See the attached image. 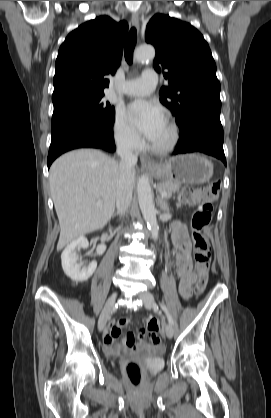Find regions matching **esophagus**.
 I'll use <instances>...</instances> for the list:
<instances>
[{"instance_id":"esophagus-1","label":"esophagus","mask_w":271,"mask_h":418,"mask_svg":"<svg viewBox=\"0 0 271 418\" xmlns=\"http://www.w3.org/2000/svg\"><path fill=\"white\" fill-rule=\"evenodd\" d=\"M131 21H132V24L136 27V29L139 30V14L137 12L132 13ZM140 160H141L142 165L144 166H147V167L155 166V162L146 155H141Z\"/></svg>"}]
</instances>
